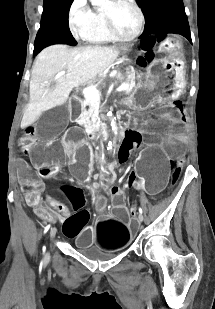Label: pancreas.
Returning <instances> with one entry per match:
<instances>
[{"label": "pancreas", "mask_w": 215, "mask_h": 309, "mask_svg": "<svg viewBox=\"0 0 215 309\" xmlns=\"http://www.w3.org/2000/svg\"><path fill=\"white\" fill-rule=\"evenodd\" d=\"M129 74H132L131 78H127V80H124V82H136V80L140 78L139 72H137V70H130ZM98 84H103V80H100ZM131 86H134V84H131ZM120 102H125L124 98L123 100H120ZM87 106L88 108H83V124L84 126H91L90 118L91 116H93V114H95V112H100L99 104H97V102H94L93 98H88Z\"/></svg>", "instance_id": "obj_1"}]
</instances>
